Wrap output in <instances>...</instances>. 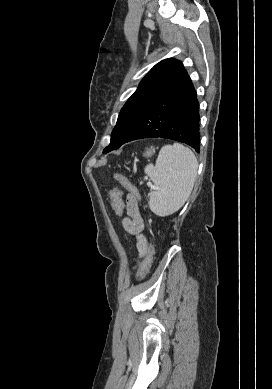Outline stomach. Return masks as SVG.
<instances>
[{
    "mask_svg": "<svg viewBox=\"0 0 272 389\" xmlns=\"http://www.w3.org/2000/svg\"><path fill=\"white\" fill-rule=\"evenodd\" d=\"M154 153H155V148L154 147H150V148L146 149V151L144 152L143 156L151 157Z\"/></svg>",
    "mask_w": 272,
    "mask_h": 389,
    "instance_id": "1",
    "label": "stomach"
}]
</instances>
